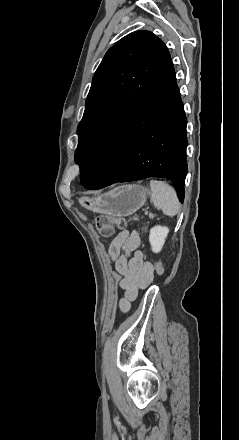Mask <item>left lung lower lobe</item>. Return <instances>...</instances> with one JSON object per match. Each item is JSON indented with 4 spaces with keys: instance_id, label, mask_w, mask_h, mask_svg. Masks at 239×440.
I'll list each match as a JSON object with an SVG mask.
<instances>
[{
    "instance_id": "0a47b994",
    "label": "left lung lower lobe",
    "mask_w": 239,
    "mask_h": 440,
    "mask_svg": "<svg viewBox=\"0 0 239 440\" xmlns=\"http://www.w3.org/2000/svg\"><path fill=\"white\" fill-rule=\"evenodd\" d=\"M187 119L169 59L129 112L109 131L89 163L81 184L95 190L151 176L177 186L184 200Z\"/></svg>"
}]
</instances>
